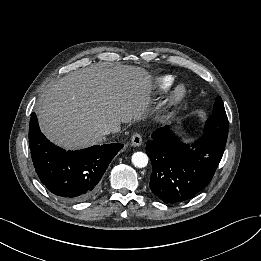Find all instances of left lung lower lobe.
I'll list each match as a JSON object with an SVG mask.
<instances>
[{"instance_id": "left-lung-lower-lobe-1", "label": "left lung lower lobe", "mask_w": 261, "mask_h": 261, "mask_svg": "<svg viewBox=\"0 0 261 261\" xmlns=\"http://www.w3.org/2000/svg\"><path fill=\"white\" fill-rule=\"evenodd\" d=\"M209 125L207 122L204 135L192 145L180 141L166 127L152 133V140L146 144L152 162L149 187L161 201L167 204L187 201L211 181L225 146L212 139ZM212 125L214 131L219 129Z\"/></svg>"}]
</instances>
